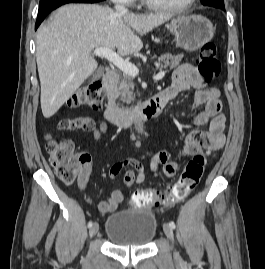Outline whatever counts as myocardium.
<instances>
[{"mask_svg": "<svg viewBox=\"0 0 265 269\" xmlns=\"http://www.w3.org/2000/svg\"><path fill=\"white\" fill-rule=\"evenodd\" d=\"M148 7L159 11L181 12L190 8L196 0H187L181 4H162L154 0H142Z\"/></svg>", "mask_w": 265, "mask_h": 269, "instance_id": "f54148a6", "label": "myocardium"}]
</instances>
